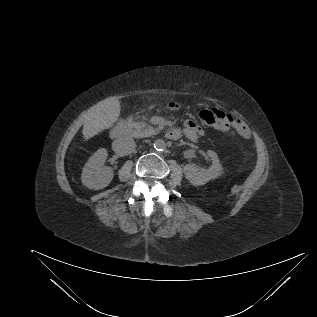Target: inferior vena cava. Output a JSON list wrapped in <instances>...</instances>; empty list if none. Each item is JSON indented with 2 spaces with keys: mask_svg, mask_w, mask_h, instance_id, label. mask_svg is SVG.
I'll return each instance as SVG.
<instances>
[{
  "mask_svg": "<svg viewBox=\"0 0 317 317\" xmlns=\"http://www.w3.org/2000/svg\"><path fill=\"white\" fill-rule=\"evenodd\" d=\"M113 150L120 155H128L135 151L136 143L130 137L118 138L113 142Z\"/></svg>",
  "mask_w": 317,
  "mask_h": 317,
  "instance_id": "inferior-vena-cava-1",
  "label": "inferior vena cava"
}]
</instances>
